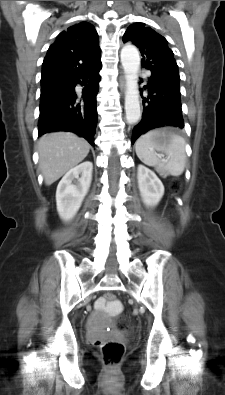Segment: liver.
<instances>
[{"label": "liver", "mask_w": 225, "mask_h": 395, "mask_svg": "<svg viewBox=\"0 0 225 395\" xmlns=\"http://www.w3.org/2000/svg\"><path fill=\"white\" fill-rule=\"evenodd\" d=\"M90 144L70 132L44 135L38 142L39 168L47 186L56 182L88 155Z\"/></svg>", "instance_id": "6515ba94"}]
</instances>
